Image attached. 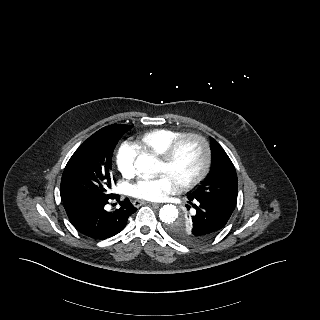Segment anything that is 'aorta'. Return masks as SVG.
Instances as JSON below:
<instances>
[{
  "label": "aorta",
  "instance_id": "aorta-1",
  "mask_svg": "<svg viewBox=\"0 0 320 320\" xmlns=\"http://www.w3.org/2000/svg\"><path fill=\"white\" fill-rule=\"evenodd\" d=\"M159 161L148 154H141L135 161V168L139 174L154 175L158 173ZM179 212L172 204L164 205L159 211L160 220L170 224L178 218Z\"/></svg>",
  "mask_w": 320,
  "mask_h": 320
}]
</instances>
